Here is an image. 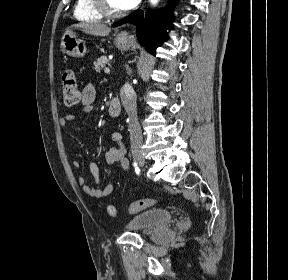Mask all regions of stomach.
Masks as SVG:
<instances>
[{
	"mask_svg": "<svg viewBox=\"0 0 288 280\" xmlns=\"http://www.w3.org/2000/svg\"><path fill=\"white\" fill-rule=\"evenodd\" d=\"M114 42L117 48L123 51L128 50L131 46L130 41L121 35H118ZM61 47L64 53L74 58L83 57L87 52L85 42L82 39H79L71 30H67L63 34L61 39Z\"/></svg>",
	"mask_w": 288,
	"mask_h": 280,
	"instance_id": "1",
	"label": "stomach"
}]
</instances>
